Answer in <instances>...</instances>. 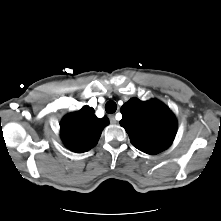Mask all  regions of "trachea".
<instances>
[{"instance_id": "1", "label": "trachea", "mask_w": 221, "mask_h": 221, "mask_svg": "<svg viewBox=\"0 0 221 221\" xmlns=\"http://www.w3.org/2000/svg\"><path fill=\"white\" fill-rule=\"evenodd\" d=\"M116 110H117V104L114 101H108L105 104V111L108 114H113V113H115Z\"/></svg>"}]
</instances>
